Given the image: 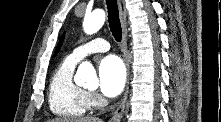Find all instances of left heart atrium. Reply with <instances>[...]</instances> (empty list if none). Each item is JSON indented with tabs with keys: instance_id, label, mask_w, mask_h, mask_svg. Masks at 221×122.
<instances>
[{
	"instance_id": "left-heart-atrium-1",
	"label": "left heart atrium",
	"mask_w": 221,
	"mask_h": 122,
	"mask_svg": "<svg viewBox=\"0 0 221 122\" xmlns=\"http://www.w3.org/2000/svg\"><path fill=\"white\" fill-rule=\"evenodd\" d=\"M98 76L100 92L104 96L114 97L125 85L126 69L119 57L109 55L100 61Z\"/></svg>"
}]
</instances>
